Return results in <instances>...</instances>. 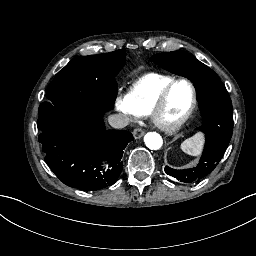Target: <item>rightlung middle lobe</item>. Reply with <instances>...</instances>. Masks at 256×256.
Here are the masks:
<instances>
[{
	"mask_svg": "<svg viewBox=\"0 0 256 256\" xmlns=\"http://www.w3.org/2000/svg\"><path fill=\"white\" fill-rule=\"evenodd\" d=\"M125 56L121 49L72 59L49 84L37 123L73 109L111 110L117 93L115 76Z\"/></svg>",
	"mask_w": 256,
	"mask_h": 256,
	"instance_id": "right-lung-middle-lobe-1",
	"label": "right lung middle lobe"
}]
</instances>
